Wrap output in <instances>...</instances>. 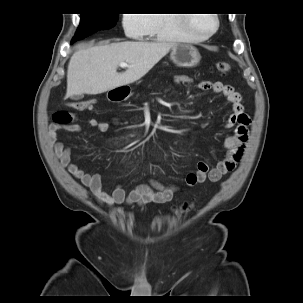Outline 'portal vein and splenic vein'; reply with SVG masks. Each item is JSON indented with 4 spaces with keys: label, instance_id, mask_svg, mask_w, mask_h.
<instances>
[{
    "label": "portal vein and splenic vein",
    "instance_id": "portal-vein-and-splenic-vein-1",
    "mask_svg": "<svg viewBox=\"0 0 303 303\" xmlns=\"http://www.w3.org/2000/svg\"><path fill=\"white\" fill-rule=\"evenodd\" d=\"M120 67H122V68H126V67H128V64L127 63H120Z\"/></svg>",
    "mask_w": 303,
    "mask_h": 303
}]
</instances>
